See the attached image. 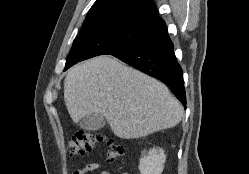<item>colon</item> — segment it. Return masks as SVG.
Returning a JSON list of instances; mask_svg holds the SVG:
<instances>
[{
    "label": "colon",
    "instance_id": "obj_1",
    "mask_svg": "<svg viewBox=\"0 0 249 174\" xmlns=\"http://www.w3.org/2000/svg\"><path fill=\"white\" fill-rule=\"evenodd\" d=\"M102 135L92 131H79L69 139L67 153L69 156H83L103 142ZM124 149L113 141L106 142V160L114 162L122 157Z\"/></svg>",
    "mask_w": 249,
    "mask_h": 174
}]
</instances>
